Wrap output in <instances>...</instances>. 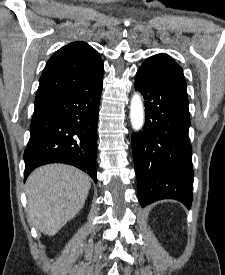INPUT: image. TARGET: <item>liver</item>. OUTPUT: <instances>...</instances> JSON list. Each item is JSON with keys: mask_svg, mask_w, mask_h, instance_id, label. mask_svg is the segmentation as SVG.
Wrapping results in <instances>:
<instances>
[{"mask_svg": "<svg viewBox=\"0 0 225 275\" xmlns=\"http://www.w3.org/2000/svg\"><path fill=\"white\" fill-rule=\"evenodd\" d=\"M90 177L64 164L34 170L26 181L30 222L37 230L54 236L84 206Z\"/></svg>", "mask_w": 225, "mask_h": 275, "instance_id": "6515ba94", "label": "liver"}]
</instances>
